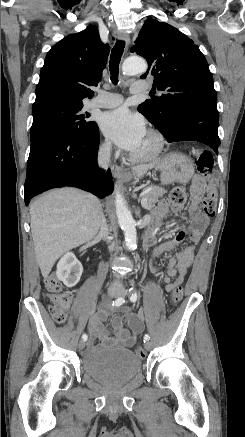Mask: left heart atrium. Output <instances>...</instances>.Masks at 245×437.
I'll use <instances>...</instances> for the list:
<instances>
[{
	"label": "left heart atrium",
	"instance_id": "obj_1",
	"mask_svg": "<svg viewBox=\"0 0 245 437\" xmlns=\"http://www.w3.org/2000/svg\"><path fill=\"white\" fill-rule=\"evenodd\" d=\"M100 128L118 147L133 154L146 136L143 119L124 107L104 113Z\"/></svg>",
	"mask_w": 245,
	"mask_h": 437
}]
</instances>
